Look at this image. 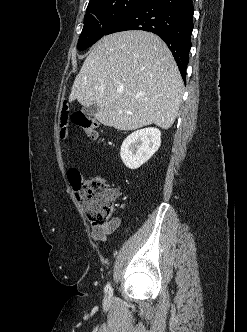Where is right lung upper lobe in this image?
<instances>
[{
	"label": "right lung upper lobe",
	"mask_w": 247,
	"mask_h": 332,
	"mask_svg": "<svg viewBox=\"0 0 247 332\" xmlns=\"http://www.w3.org/2000/svg\"><path fill=\"white\" fill-rule=\"evenodd\" d=\"M96 1H99V0H90L89 5L96 2Z\"/></svg>",
	"instance_id": "cb5924a9"
}]
</instances>
